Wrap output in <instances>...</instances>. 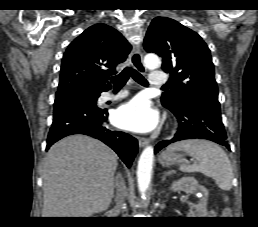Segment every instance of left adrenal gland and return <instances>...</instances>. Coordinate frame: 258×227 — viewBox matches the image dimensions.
I'll list each match as a JSON object with an SVG mask.
<instances>
[{
  "instance_id": "a2214340",
  "label": "left adrenal gland",
  "mask_w": 258,
  "mask_h": 227,
  "mask_svg": "<svg viewBox=\"0 0 258 227\" xmlns=\"http://www.w3.org/2000/svg\"><path fill=\"white\" fill-rule=\"evenodd\" d=\"M174 173V171L173 170H170V171H168V172H165V174H164V176H163V181L165 180V178H166V176H169V175H171V174H173Z\"/></svg>"
}]
</instances>
